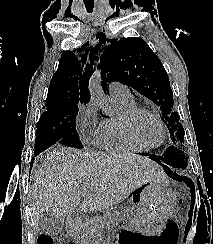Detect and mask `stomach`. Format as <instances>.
<instances>
[{
	"label": "stomach",
	"mask_w": 213,
	"mask_h": 244,
	"mask_svg": "<svg viewBox=\"0 0 213 244\" xmlns=\"http://www.w3.org/2000/svg\"><path fill=\"white\" fill-rule=\"evenodd\" d=\"M134 198L139 201L135 217L138 229L166 221L175 211L176 197L172 189L162 179L148 181L133 191ZM75 235L82 237L83 229L77 226Z\"/></svg>",
	"instance_id": "stomach-1"
}]
</instances>
